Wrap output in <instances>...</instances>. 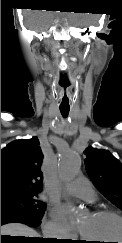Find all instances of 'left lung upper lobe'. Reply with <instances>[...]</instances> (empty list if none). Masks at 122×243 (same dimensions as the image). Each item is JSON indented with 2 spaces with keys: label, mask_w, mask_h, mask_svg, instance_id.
I'll use <instances>...</instances> for the list:
<instances>
[{
  "label": "left lung upper lobe",
  "mask_w": 122,
  "mask_h": 243,
  "mask_svg": "<svg viewBox=\"0 0 122 243\" xmlns=\"http://www.w3.org/2000/svg\"><path fill=\"white\" fill-rule=\"evenodd\" d=\"M86 171L98 190L122 210V163L109 151L89 147L85 150Z\"/></svg>",
  "instance_id": "left-lung-upper-lobe-1"
}]
</instances>
